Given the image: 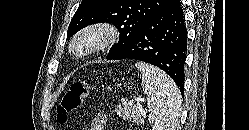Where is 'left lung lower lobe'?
<instances>
[{
	"label": "left lung lower lobe",
	"instance_id": "left-lung-lower-lobe-1",
	"mask_svg": "<svg viewBox=\"0 0 249 130\" xmlns=\"http://www.w3.org/2000/svg\"><path fill=\"white\" fill-rule=\"evenodd\" d=\"M187 29L179 0L148 20L130 41L111 59H135L164 70L184 95V64Z\"/></svg>",
	"mask_w": 249,
	"mask_h": 130
}]
</instances>
